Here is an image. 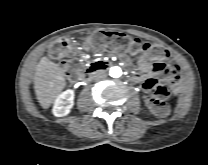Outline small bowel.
<instances>
[{"label": "small bowel", "instance_id": "small-bowel-1", "mask_svg": "<svg viewBox=\"0 0 208 165\" xmlns=\"http://www.w3.org/2000/svg\"><path fill=\"white\" fill-rule=\"evenodd\" d=\"M125 62L126 64L128 63L127 61ZM67 64L69 79L72 81L78 80L80 77L77 71L80 64L79 60L77 58H70ZM138 68L140 73H136L133 79L136 82H141L144 89L150 93L149 95L154 93L157 86H161L156 78H160L169 86L175 87L182 82L184 77V69L178 62L172 60H154L148 51H142L138 56Z\"/></svg>", "mask_w": 208, "mask_h": 165}]
</instances>
